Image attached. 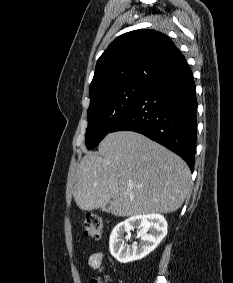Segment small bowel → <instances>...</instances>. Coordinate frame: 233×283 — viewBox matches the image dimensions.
<instances>
[{
	"instance_id": "1",
	"label": "small bowel",
	"mask_w": 233,
	"mask_h": 283,
	"mask_svg": "<svg viewBox=\"0 0 233 283\" xmlns=\"http://www.w3.org/2000/svg\"><path fill=\"white\" fill-rule=\"evenodd\" d=\"M103 259L104 254L101 252H97L89 257L88 264L93 270L101 271L103 269Z\"/></svg>"
}]
</instances>
